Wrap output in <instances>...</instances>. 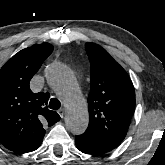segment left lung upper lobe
<instances>
[{
	"label": "left lung upper lobe",
	"instance_id": "left-lung-upper-lobe-1",
	"mask_svg": "<svg viewBox=\"0 0 165 165\" xmlns=\"http://www.w3.org/2000/svg\"><path fill=\"white\" fill-rule=\"evenodd\" d=\"M90 60L87 130L119 145L135 110V92L126 71L101 46L85 44Z\"/></svg>",
	"mask_w": 165,
	"mask_h": 165
}]
</instances>
